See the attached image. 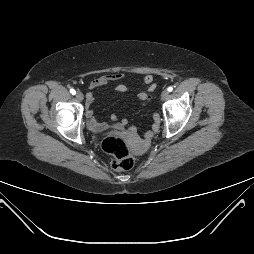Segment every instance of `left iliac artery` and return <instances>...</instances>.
Returning <instances> with one entry per match:
<instances>
[{
	"label": "left iliac artery",
	"mask_w": 254,
	"mask_h": 254,
	"mask_svg": "<svg viewBox=\"0 0 254 254\" xmlns=\"http://www.w3.org/2000/svg\"><path fill=\"white\" fill-rule=\"evenodd\" d=\"M173 90V87H169L168 91L171 92Z\"/></svg>",
	"instance_id": "44dca946"
}]
</instances>
